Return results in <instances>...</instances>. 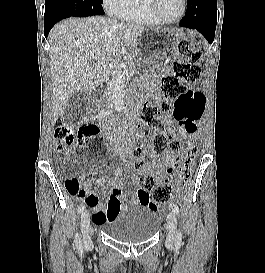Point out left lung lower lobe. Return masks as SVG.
<instances>
[{"label": "left lung lower lobe", "mask_w": 265, "mask_h": 273, "mask_svg": "<svg viewBox=\"0 0 265 273\" xmlns=\"http://www.w3.org/2000/svg\"><path fill=\"white\" fill-rule=\"evenodd\" d=\"M209 10H217V0H189L188 9L179 25L198 30L211 44L214 39L216 20L205 18Z\"/></svg>", "instance_id": "0a47b994"}]
</instances>
